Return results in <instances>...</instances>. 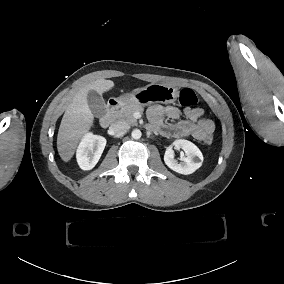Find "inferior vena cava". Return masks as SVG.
Segmentation results:
<instances>
[{"label":"inferior vena cava","instance_id":"1","mask_svg":"<svg viewBox=\"0 0 284 284\" xmlns=\"http://www.w3.org/2000/svg\"><path fill=\"white\" fill-rule=\"evenodd\" d=\"M130 129L129 124L123 122V121H118L116 123L111 124L109 127V133L111 134H124Z\"/></svg>","mask_w":284,"mask_h":284}]
</instances>
